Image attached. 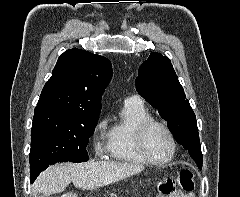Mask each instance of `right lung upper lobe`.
Instances as JSON below:
<instances>
[{"label": "right lung upper lobe", "mask_w": 240, "mask_h": 197, "mask_svg": "<svg viewBox=\"0 0 240 197\" xmlns=\"http://www.w3.org/2000/svg\"><path fill=\"white\" fill-rule=\"evenodd\" d=\"M111 77L112 65L107 58L69 49L58 58L35 114L99 115L102 94Z\"/></svg>", "instance_id": "obj_1"}]
</instances>
